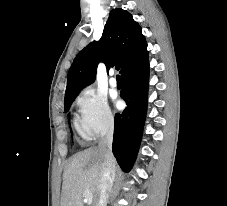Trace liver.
<instances>
[{
  "mask_svg": "<svg viewBox=\"0 0 227 206\" xmlns=\"http://www.w3.org/2000/svg\"><path fill=\"white\" fill-rule=\"evenodd\" d=\"M102 162L103 156L98 147H90L73 156L63 175L60 206H84L86 190L92 193V206H96Z\"/></svg>",
  "mask_w": 227,
  "mask_h": 206,
  "instance_id": "obj_1",
  "label": "liver"
}]
</instances>
